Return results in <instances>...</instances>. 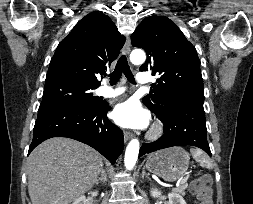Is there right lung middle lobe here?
Masks as SVG:
<instances>
[{
    "instance_id": "obj_1",
    "label": "right lung middle lobe",
    "mask_w": 253,
    "mask_h": 204,
    "mask_svg": "<svg viewBox=\"0 0 253 204\" xmlns=\"http://www.w3.org/2000/svg\"><path fill=\"white\" fill-rule=\"evenodd\" d=\"M94 89L96 88L67 81L45 83L40 106L69 104L94 108L100 104L93 96Z\"/></svg>"
}]
</instances>
